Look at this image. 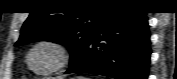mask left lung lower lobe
Returning <instances> with one entry per match:
<instances>
[{
  "instance_id": "1",
  "label": "left lung lower lobe",
  "mask_w": 177,
  "mask_h": 79,
  "mask_svg": "<svg viewBox=\"0 0 177 79\" xmlns=\"http://www.w3.org/2000/svg\"><path fill=\"white\" fill-rule=\"evenodd\" d=\"M149 37L145 13L121 6L107 8L66 74L92 73L115 79H147L151 54Z\"/></svg>"
}]
</instances>
